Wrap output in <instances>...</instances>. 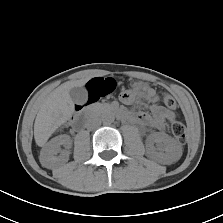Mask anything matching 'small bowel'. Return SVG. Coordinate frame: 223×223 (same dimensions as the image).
<instances>
[{
	"label": "small bowel",
	"mask_w": 223,
	"mask_h": 223,
	"mask_svg": "<svg viewBox=\"0 0 223 223\" xmlns=\"http://www.w3.org/2000/svg\"><path fill=\"white\" fill-rule=\"evenodd\" d=\"M140 96L144 103L148 105L151 113H139L136 116L131 115L129 121L137 122L143 126L157 130H163L165 128L166 121H172L175 119V113L164 108L159 103L158 96L154 89L146 88ZM135 97V94L124 93L121 95V101L125 104H130L135 100Z\"/></svg>",
	"instance_id": "1"
}]
</instances>
